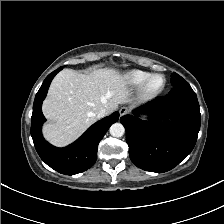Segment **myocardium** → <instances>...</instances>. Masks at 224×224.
Listing matches in <instances>:
<instances>
[{
  "label": "myocardium",
  "mask_w": 224,
  "mask_h": 224,
  "mask_svg": "<svg viewBox=\"0 0 224 224\" xmlns=\"http://www.w3.org/2000/svg\"><path fill=\"white\" fill-rule=\"evenodd\" d=\"M155 76H162L164 78V85L160 89L152 91L149 89V82ZM166 84H167V79L164 74L152 73L139 86L138 95L141 99H144V100L155 98L156 96H158L159 94H161L164 91Z\"/></svg>",
  "instance_id": "1"
}]
</instances>
